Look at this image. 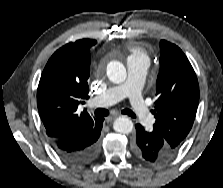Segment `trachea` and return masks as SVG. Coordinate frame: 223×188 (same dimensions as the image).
<instances>
[{
  "instance_id": "trachea-1",
  "label": "trachea",
  "mask_w": 223,
  "mask_h": 188,
  "mask_svg": "<svg viewBox=\"0 0 223 188\" xmlns=\"http://www.w3.org/2000/svg\"><path fill=\"white\" fill-rule=\"evenodd\" d=\"M122 113L126 114L132 118L136 117L135 114L130 109H124V110H122ZM94 114L97 117H105V116L109 115V111L107 109L99 108V109L95 110Z\"/></svg>"
}]
</instances>
